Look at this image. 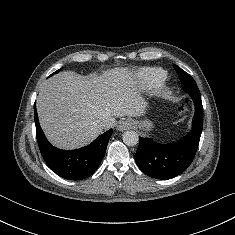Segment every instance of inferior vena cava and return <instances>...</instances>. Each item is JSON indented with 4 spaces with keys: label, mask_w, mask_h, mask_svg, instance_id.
<instances>
[{
    "label": "inferior vena cava",
    "mask_w": 235,
    "mask_h": 235,
    "mask_svg": "<svg viewBox=\"0 0 235 235\" xmlns=\"http://www.w3.org/2000/svg\"><path fill=\"white\" fill-rule=\"evenodd\" d=\"M99 126L102 128H107L109 126V121L107 119H103L99 122Z\"/></svg>",
    "instance_id": "1"
}]
</instances>
